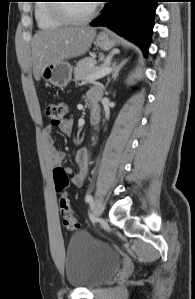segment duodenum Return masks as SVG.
<instances>
[{"mask_svg": "<svg viewBox=\"0 0 195 299\" xmlns=\"http://www.w3.org/2000/svg\"><path fill=\"white\" fill-rule=\"evenodd\" d=\"M90 111H91V114L94 115L95 114V111H96V106H92L90 108Z\"/></svg>", "mask_w": 195, "mask_h": 299, "instance_id": "1", "label": "duodenum"}]
</instances>
